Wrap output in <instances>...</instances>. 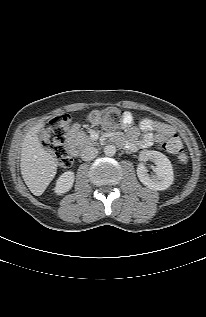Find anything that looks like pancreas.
<instances>
[{
  "label": "pancreas",
  "instance_id": "obj_1",
  "mask_svg": "<svg viewBox=\"0 0 206 317\" xmlns=\"http://www.w3.org/2000/svg\"><path fill=\"white\" fill-rule=\"evenodd\" d=\"M74 138H75V141L81 146L93 144V141L91 140V138L87 136L84 132H77L74 135Z\"/></svg>",
  "mask_w": 206,
  "mask_h": 317
}]
</instances>
